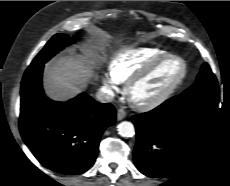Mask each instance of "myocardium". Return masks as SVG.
Segmentation results:
<instances>
[{"label":"myocardium","instance_id":"obj_1","mask_svg":"<svg viewBox=\"0 0 230 186\" xmlns=\"http://www.w3.org/2000/svg\"><path fill=\"white\" fill-rule=\"evenodd\" d=\"M176 60L181 65V70L179 74L156 96L148 99V100H136L133 95L134 87L140 83L142 80L146 79L150 76L161 64H163L167 60ZM187 74V64L186 62L179 56L174 54H164L157 58L155 61L150 63L148 66L140 70L139 72L132 75L125 84V95L131 105L138 110L147 111L154 109L164 103L169 97L173 94V92L177 89V87L181 84Z\"/></svg>","mask_w":230,"mask_h":186}]
</instances>
